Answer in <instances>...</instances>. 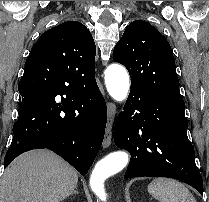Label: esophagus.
Wrapping results in <instances>:
<instances>
[{
  "instance_id": "34e87169",
  "label": "esophagus",
  "mask_w": 209,
  "mask_h": 202,
  "mask_svg": "<svg viewBox=\"0 0 209 202\" xmlns=\"http://www.w3.org/2000/svg\"><path fill=\"white\" fill-rule=\"evenodd\" d=\"M115 116H116L115 105L113 103H108L107 124H106L105 136H104V140H103V148H107L111 144Z\"/></svg>"
}]
</instances>
